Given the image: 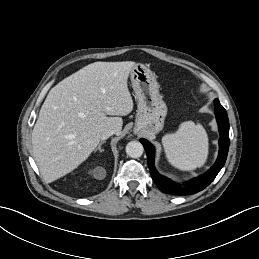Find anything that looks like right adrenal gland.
<instances>
[{"mask_svg":"<svg viewBox=\"0 0 259 259\" xmlns=\"http://www.w3.org/2000/svg\"><path fill=\"white\" fill-rule=\"evenodd\" d=\"M104 143H106V141H101V142L99 143L98 147L95 149L94 152H97V151L103 152L104 149H101V146H102V144H104Z\"/></svg>","mask_w":259,"mask_h":259,"instance_id":"1","label":"right adrenal gland"}]
</instances>
